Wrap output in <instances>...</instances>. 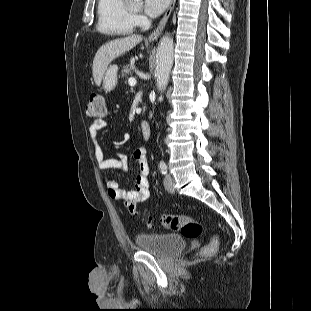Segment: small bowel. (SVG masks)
Returning <instances> with one entry per match:
<instances>
[{
    "instance_id": "small-bowel-1",
    "label": "small bowel",
    "mask_w": 311,
    "mask_h": 311,
    "mask_svg": "<svg viewBox=\"0 0 311 311\" xmlns=\"http://www.w3.org/2000/svg\"><path fill=\"white\" fill-rule=\"evenodd\" d=\"M105 126L106 122L104 120H96L91 123L88 128L90 137L95 141L98 132ZM146 155L147 149L145 146H140L133 152V158L138 165V174L135 178L134 189L123 190L119 188L116 180L111 178L105 179L109 196L112 199L121 200L131 215L135 214L136 205L146 201L150 196L149 165ZM94 157L97 166L101 170H128V157L126 155L118 154L116 158H107L97 142L94 143Z\"/></svg>"
}]
</instances>
